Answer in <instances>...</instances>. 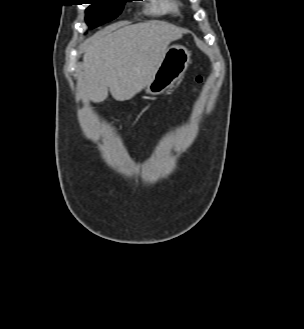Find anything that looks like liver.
Wrapping results in <instances>:
<instances>
[{"label": "liver", "instance_id": "6515ba94", "mask_svg": "<svg viewBox=\"0 0 304 329\" xmlns=\"http://www.w3.org/2000/svg\"><path fill=\"white\" fill-rule=\"evenodd\" d=\"M183 30L163 21L116 25L85 42L83 73L85 96L99 103L108 89L117 101L132 99L154 76L168 45Z\"/></svg>", "mask_w": 304, "mask_h": 329}]
</instances>
